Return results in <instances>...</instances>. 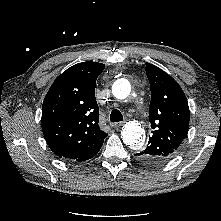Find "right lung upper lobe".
Returning <instances> with one entry per match:
<instances>
[{"mask_svg": "<svg viewBox=\"0 0 221 221\" xmlns=\"http://www.w3.org/2000/svg\"><path fill=\"white\" fill-rule=\"evenodd\" d=\"M105 65L82 62L59 75L42 106V130L60 158L85 161L101 149L107 134L98 125L95 84Z\"/></svg>", "mask_w": 221, "mask_h": 221, "instance_id": "obj_1", "label": "right lung upper lobe"}]
</instances>
